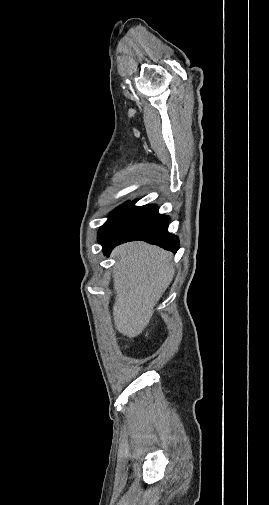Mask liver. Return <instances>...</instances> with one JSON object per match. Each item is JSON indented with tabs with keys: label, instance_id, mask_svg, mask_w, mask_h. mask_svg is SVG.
I'll list each match as a JSON object with an SVG mask.
<instances>
[{
	"label": "liver",
	"instance_id": "1",
	"mask_svg": "<svg viewBox=\"0 0 269 505\" xmlns=\"http://www.w3.org/2000/svg\"><path fill=\"white\" fill-rule=\"evenodd\" d=\"M112 256L117 260L114 324L120 333L133 338L149 324L155 305L173 280L172 253L138 241L116 247Z\"/></svg>",
	"mask_w": 269,
	"mask_h": 505
}]
</instances>
